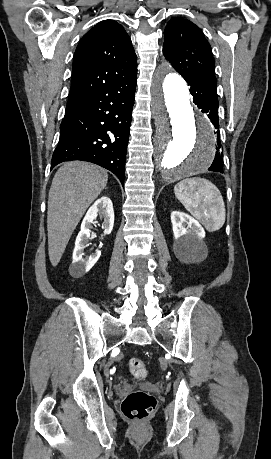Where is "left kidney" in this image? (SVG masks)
<instances>
[{
  "mask_svg": "<svg viewBox=\"0 0 271 459\" xmlns=\"http://www.w3.org/2000/svg\"><path fill=\"white\" fill-rule=\"evenodd\" d=\"M171 222L175 237L174 247L177 251L180 253L197 251L198 241L204 235V229L201 228L199 222L184 212H172Z\"/></svg>",
  "mask_w": 271,
  "mask_h": 459,
  "instance_id": "left-kidney-1",
  "label": "left kidney"
}]
</instances>
